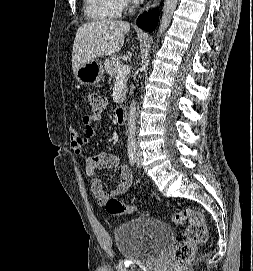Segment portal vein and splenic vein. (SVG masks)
<instances>
[{"label":"portal vein and splenic vein","mask_w":253,"mask_h":271,"mask_svg":"<svg viewBox=\"0 0 253 271\" xmlns=\"http://www.w3.org/2000/svg\"><path fill=\"white\" fill-rule=\"evenodd\" d=\"M129 73V66L123 65L117 69V78H124Z\"/></svg>","instance_id":"18ae733b"}]
</instances>
